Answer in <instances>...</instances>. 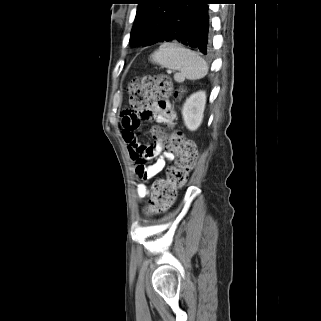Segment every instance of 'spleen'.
I'll use <instances>...</instances> for the list:
<instances>
[{"label": "spleen", "mask_w": 321, "mask_h": 321, "mask_svg": "<svg viewBox=\"0 0 321 321\" xmlns=\"http://www.w3.org/2000/svg\"><path fill=\"white\" fill-rule=\"evenodd\" d=\"M150 60L162 67L178 70L177 80H196L203 78L208 72L206 61L194 51L178 43H163L154 51Z\"/></svg>", "instance_id": "obj_1"}]
</instances>
